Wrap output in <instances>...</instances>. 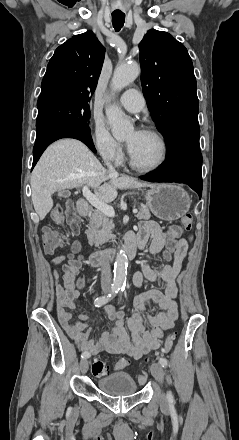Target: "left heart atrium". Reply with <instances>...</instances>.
Masks as SVG:
<instances>
[{"label": "left heart atrium", "mask_w": 239, "mask_h": 440, "mask_svg": "<svg viewBox=\"0 0 239 440\" xmlns=\"http://www.w3.org/2000/svg\"><path fill=\"white\" fill-rule=\"evenodd\" d=\"M142 131H140V130H137V131H135L134 132V138H133V140L131 141V142H128V149L131 151L132 150V148H133V146H134V143H135V140L137 139V137L139 136V134L141 133Z\"/></svg>", "instance_id": "39dd6f15"}]
</instances>
